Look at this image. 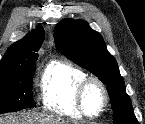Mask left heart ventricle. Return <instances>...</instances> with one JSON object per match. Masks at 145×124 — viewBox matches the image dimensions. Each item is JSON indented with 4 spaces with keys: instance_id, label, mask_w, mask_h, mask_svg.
<instances>
[{
    "instance_id": "1",
    "label": "left heart ventricle",
    "mask_w": 145,
    "mask_h": 124,
    "mask_svg": "<svg viewBox=\"0 0 145 124\" xmlns=\"http://www.w3.org/2000/svg\"><path fill=\"white\" fill-rule=\"evenodd\" d=\"M102 101L103 95L100 89L95 85L90 86L85 95V106L88 113H97L102 105Z\"/></svg>"
}]
</instances>
